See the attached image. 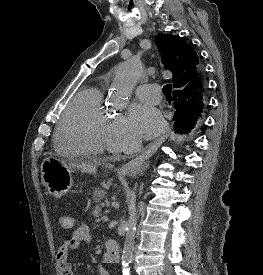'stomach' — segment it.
Here are the masks:
<instances>
[{
    "mask_svg": "<svg viewBox=\"0 0 263 275\" xmlns=\"http://www.w3.org/2000/svg\"><path fill=\"white\" fill-rule=\"evenodd\" d=\"M74 167L55 157H47L41 164V179L49 194L60 198L73 186Z\"/></svg>",
    "mask_w": 263,
    "mask_h": 275,
    "instance_id": "1",
    "label": "stomach"
}]
</instances>
